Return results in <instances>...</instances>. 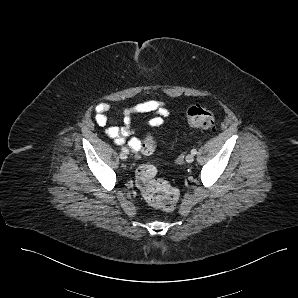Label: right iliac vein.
<instances>
[{
  "mask_svg": "<svg viewBox=\"0 0 298 298\" xmlns=\"http://www.w3.org/2000/svg\"><path fill=\"white\" fill-rule=\"evenodd\" d=\"M120 158H121L122 160H126V159H127V154L124 153V152H121V153H120Z\"/></svg>",
  "mask_w": 298,
  "mask_h": 298,
  "instance_id": "right-iliac-vein-1",
  "label": "right iliac vein"
}]
</instances>
